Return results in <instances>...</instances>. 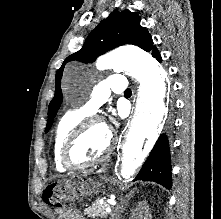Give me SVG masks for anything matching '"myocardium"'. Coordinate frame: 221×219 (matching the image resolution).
Listing matches in <instances>:
<instances>
[{"mask_svg": "<svg viewBox=\"0 0 221 219\" xmlns=\"http://www.w3.org/2000/svg\"><path fill=\"white\" fill-rule=\"evenodd\" d=\"M92 124H101L108 131V145L105 151L97 158L88 162H76L72 157V151L77 143L78 139L84 132V130ZM116 143L115 136L112 130L106 126L104 120L99 116H91L83 119L75 128L70 132L69 136L65 140L61 150V161L68 168L72 170H82L98 165L103 162L112 153Z\"/></svg>", "mask_w": 221, "mask_h": 219, "instance_id": "myocardium-1", "label": "myocardium"}]
</instances>
